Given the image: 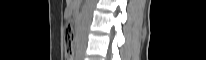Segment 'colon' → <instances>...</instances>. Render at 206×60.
<instances>
[{
    "label": "colon",
    "mask_w": 206,
    "mask_h": 60,
    "mask_svg": "<svg viewBox=\"0 0 206 60\" xmlns=\"http://www.w3.org/2000/svg\"><path fill=\"white\" fill-rule=\"evenodd\" d=\"M65 38H66V43H67V55H68V59L72 60V56H73V38H74V33H73V29L70 25H68L65 28Z\"/></svg>",
    "instance_id": "colon-1"
}]
</instances>
